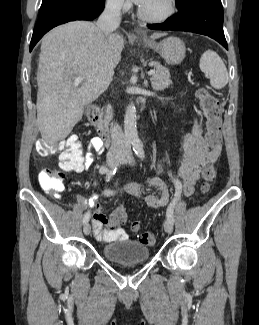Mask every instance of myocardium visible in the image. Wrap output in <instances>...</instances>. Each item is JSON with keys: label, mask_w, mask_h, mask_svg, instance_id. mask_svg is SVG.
<instances>
[{"label": "myocardium", "mask_w": 259, "mask_h": 325, "mask_svg": "<svg viewBox=\"0 0 259 325\" xmlns=\"http://www.w3.org/2000/svg\"><path fill=\"white\" fill-rule=\"evenodd\" d=\"M165 9L159 14L148 13L143 6L138 9L139 16L145 21L152 23H161L169 20L176 13V1L164 0Z\"/></svg>", "instance_id": "myocardium-1"}]
</instances>
